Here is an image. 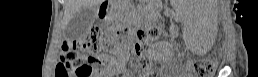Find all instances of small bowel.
Returning <instances> with one entry per match:
<instances>
[{"mask_svg": "<svg viewBox=\"0 0 258 77\" xmlns=\"http://www.w3.org/2000/svg\"><path fill=\"white\" fill-rule=\"evenodd\" d=\"M127 54V50H124L117 54L101 55L100 58L102 69L100 70L99 75L96 77L108 76L122 70L127 58Z\"/></svg>", "mask_w": 258, "mask_h": 77, "instance_id": "1", "label": "small bowel"}]
</instances>
